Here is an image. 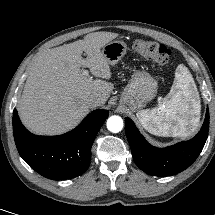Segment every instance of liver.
Masks as SVG:
<instances>
[{"mask_svg": "<svg viewBox=\"0 0 215 215\" xmlns=\"http://www.w3.org/2000/svg\"><path fill=\"white\" fill-rule=\"evenodd\" d=\"M118 37L117 33L94 32L84 39L45 50L31 62L18 102L23 124L39 135H56L76 126L89 112L87 99L108 100L113 84L109 63L101 48ZM85 52L87 57L82 59ZM87 67L97 77L82 74Z\"/></svg>", "mask_w": 215, "mask_h": 215, "instance_id": "6515ba94", "label": "liver"}]
</instances>
